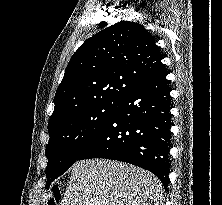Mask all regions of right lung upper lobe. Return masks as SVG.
Here are the masks:
<instances>
[{
	"instance_id": "1",
	"label": "right lung upper lobe",
	"mask_w": 222,
	"mask_h": 205,
	"mask_svg": "<svg viewBox=\"0 0 222 205\" xmlns=\"http://www.w3.org/2000/svg\"><path fill=\"white\" fill-rule=\"evenodd\" d=\"M151 34L120 21L88 38L73 54L55 94L53 124L85 107L122 99L164 69Z\"/></svg>"
}]
</instances>
